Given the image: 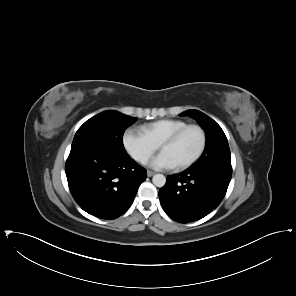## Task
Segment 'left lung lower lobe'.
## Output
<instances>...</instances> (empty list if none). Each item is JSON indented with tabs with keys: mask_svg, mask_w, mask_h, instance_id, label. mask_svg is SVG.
<instances>
[{
	"mask_svg": "<svg viewBox=\"0 0 296 296\" xmlns=\"http://www.w3.org/2000/svg\"><path fill=\"white\" fill-rule=\"evenodd\" d=\"M232 175L231 166H193L167 177L159 191L166 214L180 223L199 220L224 198Z\"/></svg>",
	"mask_w": 296,
	"mask_h": 296,
	"instance_id": "0a47b994",
	"label": "left lung lower lobe"
}]
</instances>
